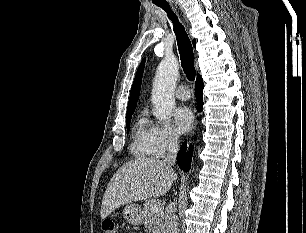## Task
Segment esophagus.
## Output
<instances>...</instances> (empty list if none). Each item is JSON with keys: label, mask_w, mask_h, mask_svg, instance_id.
<instances>
[{"label": "esophagus", "mask_w": 306, "mask_h": 233, "mask_svg": "<svg viewBox=\"0 0 306 233\" xmlns=\"http://www.w3.org/2000/svg\"><path fill=\"white\" fill-rule=\"evenodd\" d=\"M196 126H197V122L195 123V125H194V127H193V130H192V132H191V134H190V138L193 137V135H194V133H195V130H196Z\"/></svg>", "instance_id": "34e87169"}]
</instances>
